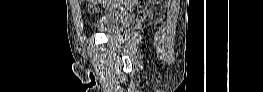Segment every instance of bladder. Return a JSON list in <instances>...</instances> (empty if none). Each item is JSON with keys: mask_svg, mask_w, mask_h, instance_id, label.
<instances>
[{"mask_svg": "<svg viewBox=\"0 0 263 92\" xmlns=\"http://www.w3.org/2000/svg\"><path fill=\"white\" fill-rule=\"evenodd\" d=\"M133 18V14L128 11L106 10L91 22L89 28L105 35H113L120 30L129 28Z\"/></svg>", "mask_w": 263, "mask_h": 92, "instance_id": "1", "label": "bladder"}]
</instances>
